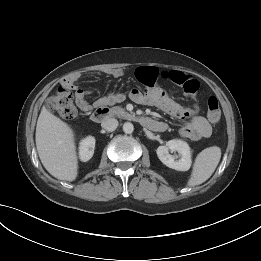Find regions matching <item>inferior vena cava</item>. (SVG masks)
Here are the masks:
<instances>
[{"label": "inferior vena cava", "instance_id": "1", "mask_svg": "<svg viewBox=\"0 0 261 261\" xmlns=\"http://www.w3.org/2000/svg\"><path fill=\"white\" fill-rule=\"evenodd\" d=\"M107 131H114L118 127V121L115 118H107L101 124Z\"/></svg>", "mask_w": 261, "mask_h": 261}]
</instances>
